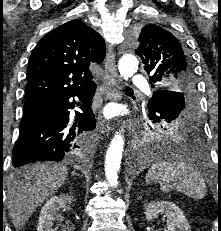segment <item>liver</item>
<instances>
[{
	"mask_svg": "<svg viewBox=\"0 0 221 231\" xmlns=\"http://www.w3.org/2000/svg\"><path fill=\"white\" fill-rule=\"evenodd\" d=\"M68 170L62 164H34L12 173L7 181L8 212L20 230L29 217L65 182Z\"/></svg>",
	"mask_w": 221,
	"mask_h": 231,
	"instance_id": "obj_1",
	"label": "liver"
}]
</instances>
